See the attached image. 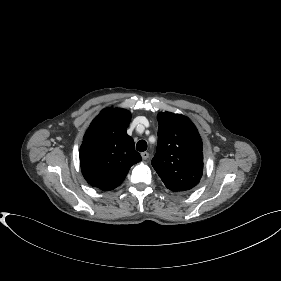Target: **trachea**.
Here are the masks:
<instances>
[{
	"instance_id": "1",
	"label": "trachea",
	"mask_w": 281,
	"mask_h": 281,
	"mask_svg": "<svg viewBox=\"0 0 281 281\" xmlns=\"http://www.w3.org/2000/svg\"><path fill=\"white\" fill-rule=\"evenodd\" d=\"M136 149L140 152L147 150V142L145 140H140L136 144Z\"/></svg>"
}]
</instances>
